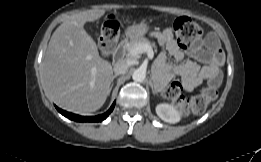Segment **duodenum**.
<instances>
[{"label":"duodenum","mask_w":261,"mask_h":162,"mask_svg":"<svg viewBox=\"0 0 261 162\" xmlns=\"http://www.w3.org/2000/svg\"><path fill=\"white\" fill-rule=\"evenodd\" d=\"M125 41H126V39L123 38V39L120 40V42L117 45L119 55H122V50H123V46H124Z\"/></svg>","instance_id":"410a0bca"}]
</instances>
